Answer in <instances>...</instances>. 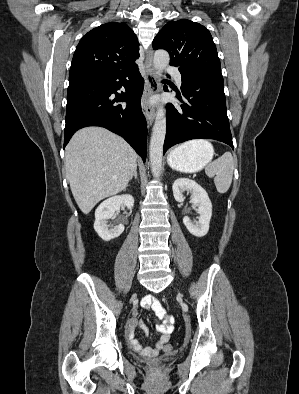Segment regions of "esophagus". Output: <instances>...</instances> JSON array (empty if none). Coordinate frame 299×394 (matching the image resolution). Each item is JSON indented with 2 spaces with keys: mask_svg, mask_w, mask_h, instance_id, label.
<instances>
[{
  "mask_svg": "<svg viewBox=\"0 0 299 394\" xmlns=\"http://www.w3.org/2000/svg\"><path fill=\"white\" fill-rule=\"evenodd\" d=\"M159 90L158 81L153 69V51L149 48L145 59V87L141 99L143 113L147 119L149 126L152 124L155 116V108L149 102V98Z\"/></svg>",
  "mask_w": 299,
  "mask_h": 394,
  "instance_id": "esophagus-1",
  "label": "esophagus"
}]
</instances>
